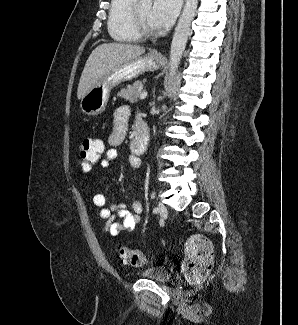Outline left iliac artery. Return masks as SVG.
<instances>
[{"mask_svg":"<svg viewBox=\"0 0 298 325\" xmlns=\"http://www.w3.org/2000/svg\"><path fill=\"white\" fill-rule=\"evenodd\" d=\"M153 213H155V214L159 213V209H158V207H155V208L153 209Z\"/></svg>","mask_w":298,"mask_h":325,"instance_id":"obj_1","label":"left iliac artery"}]
</instances>
